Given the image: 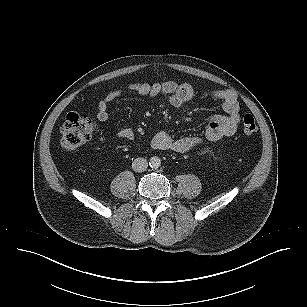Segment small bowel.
I'll return each mask as SVG.
<instances>
[{
    "instance_id": "1",
    "label": "small bowel",
    "mask_w": 307,
    "mask_h": 307,
    "mask_svg": "<svg viewBox=\"0 0 307 307\" xmlns=\"http://www.w3.org/2000/svg\"><path fill=\"white\" fill-rule=\"evenodd\" d=\"M127 93L142 97L154 98L164 96L174 108H180L191 101L197 94L220 102L224 114L213 115L207 122L205 138L208 141H218L236 132L240 121V106L236 94L232 90H207L197 92L189 83L165 81L162 83L133 82L121 88L109 91L99 102L96 117L100 122H105L109 117V105ZM119 137L132 139L134 133L126 128L119 132ZM202 142L200 137H172L161 131L152 139L151 145L157 150H171L178 153L189 152Z\"/></svg>"
}]
</instances>
